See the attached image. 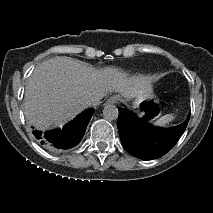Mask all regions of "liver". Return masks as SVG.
Here are the masks:
<instances>
[{"label": "liver", "mask_w": 213, "mask_h": 213, "mask_svg": "<svg viewBox=\"0 0 213 213\" xmlns=\"http://www.w3.org/2000/svg\"><path fill=\"white\" fill-rule=\"evenodd\" d=\"M150 90V82L118 69L97 70L67 56L41 63L28 80L24 109L39 129L63 125L88 107L96 95L118 92L131 99Z\"/></svg>", "instance_id": "obj_1"}]
</instances>
